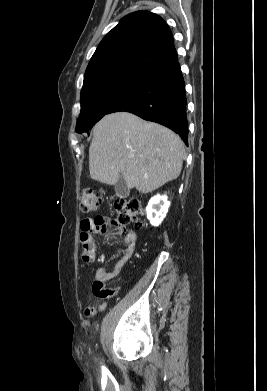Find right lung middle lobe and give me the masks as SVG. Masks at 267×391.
<instances>
[{"mask_svg":"<svg viewBox=\"0 0 267 391\" xmlns=\"http://www.w3.org/2000/svg\"><path fill=\"white\" fill-rule=\"evenodd\" d=\"M149 76L132 71H120L103 74L84 83L76 132H87L116 104L143 85Z\"/></svg>","mask_w":267,"mask_h":391,"instance_id":"right-lung-middle-lobe-1","label":"right lung middle lobe"}]
</instances>
